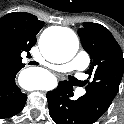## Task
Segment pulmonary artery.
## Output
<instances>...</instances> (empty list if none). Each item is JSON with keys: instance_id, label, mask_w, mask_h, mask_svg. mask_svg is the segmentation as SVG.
Segmentation results:
<instances>
[{"instance_id": "e3ab8cb5", "label": "pulmonary artery", "mask_w": 124, "mask_h": 124, "mask_svg": "<svg viewBox=\"0 0 124 124\" xmlns=\"http://www.w3.org/2000/svg\"><path fill=\"white\" fill-rule=\"evenodd\" d=\"M89 63L90 57L88 53L85 51H81L72 61L66 64L52 66L50 69L57 72H68L73 70L83 71L88 67ZM83 94L84 90H79L77 92L78 96H81Z\"/></svg>"}]
</instances>
